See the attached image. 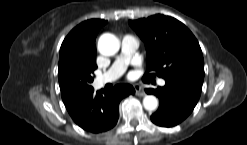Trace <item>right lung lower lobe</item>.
Segmentation results:
<instances>
[{
  "instance_id": "98d812e1",
  "label": "right lung lower lobe",
  "mask_w": 247,
  "mask_h": 145,
  "mask_svg": "<svg viewBox=\"0 0 247 145\" xmlns=\"http://www.w3.org/2000/svg\"><path fill=\"white\" fill-rule=\"evenodd\" d=\"M134 93V88L129 84L116 85L104 95L100 92L94 94L92 88L64 101V104L78 126L86 131L99 133L116 125L119 117V102Z\"/></svg>"
}]
</instances>
